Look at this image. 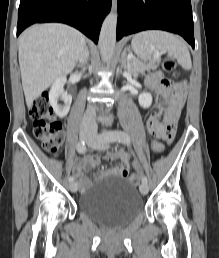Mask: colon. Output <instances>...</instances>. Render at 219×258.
<instances>
[{"mask_svg": "<svg viewBox=\"0 0 219 258\" xmlns=\"http://www.w3.org/2000/svg\"><path fill=\"white\" fill-rule=\"evenodd\" d=\"M162 68L175 77L179 75L177 64L172 58L164 59ZM29 116L33 122L34 134L41 141L43 148L51 154H56L63 142L62 125L54 114L47 95H41L34 100L29 109ZM152 150L158 155L162 154L164 152L163 143L159 140H153ZM129 181L132 184H137L138 175H131Z\"/></svg>", "mask_w": 219, "mask_h": 258, "instance_id": "5ec220e1", "label": "colon"}]
</instances>
